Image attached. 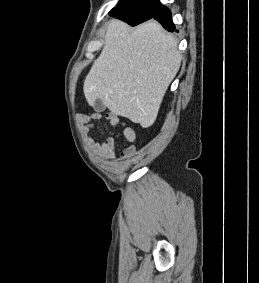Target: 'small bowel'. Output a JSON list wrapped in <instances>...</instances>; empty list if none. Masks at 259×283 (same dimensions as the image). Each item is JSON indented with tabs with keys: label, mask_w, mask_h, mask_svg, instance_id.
<instances>
[{
	"label": "small bowel",
	"mask_w": 259,
	"mask_h": 283,
	"mask_svg": "<svg viewBox=\"0 0 259 283\" xmlns=\"http://www.w3.org/2000/svg\"><path fill=\"white\" fill-rule=\"evenodd\" d=\"M103 118L102 114L99 112H93L90 115H83L80 119L84 122L85 128L87 130H91L94 127V123ZM105 119L109 121L112 126L123 127V135L128 142H133L136 139L135 130L126 124L117 114L115 113H107L105 115ZM95 147L104 155V157L112 161L115 159V147L116 140L113 137L107 138L104 142L100 144H95ZM126 156L125 152L123 154Z\"/></svg>",
	"instance_id": "1"
}]
</instances>
